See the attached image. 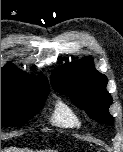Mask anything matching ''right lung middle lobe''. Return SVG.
<instances>
[{"label": "right lung middle lobe", "mask_w": 123, "mask_h": 152, "mask_svg": "<svg viewBox=\"0 0 123 152\" xmlns=\"http://www.w3.org/2000/svg\"><path fill=\"white\" fill-rule=\"evenodd\" d=\"M48 94L21 93L1 85V126H22L43 108Z\"/></svg>", "instance_id": "1"}]
</instances>
